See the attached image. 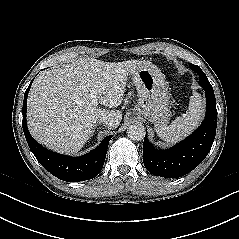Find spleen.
Listing matches in <instances>:
<instances>
[{
	"instance_id": "obj_1",
	"label": "spleen",
	"mask_w": 239,
	"mask_h": 239,
	"mask_svg": "<svg viewBox=\"0 0 239 239\" xmlns=\"http://www.w3.org/2000/svg\"><path fill=\"white\" fill-rule=\"evenodd\" d=\"M204 117V105L201 96L194 93L190 97L188 110L178 116L169 126H156L157 135L167 143H177L190 135Z\"/></svg>"
}]
</instances>
